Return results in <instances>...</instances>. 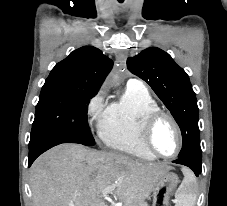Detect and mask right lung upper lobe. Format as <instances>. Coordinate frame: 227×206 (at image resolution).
Returning <instances> with one entry per match:
<instances>
[{"label": "right lung upper lobe", "instance_id": "1", "mask_svg": "<svg viewBox=\"0 0 227 206\" xmlns=\"http://www.w3.org/2000/svg\"><path fill=\"white\" fill-rule=\"evenodd\" d=\"M113 66L101 50L84 46L56 64L43 87L96 93Z\"/></svg>", "mask_w": 227, "mask_h": 206}]
</instances>
